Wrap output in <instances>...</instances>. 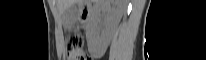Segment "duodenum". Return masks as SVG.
<instances>
[{
	"instance_id": "obj_1",
	"label": "duodenum",
	"mask_w": 206,
	"mask_h": 60,
	"mask_svg": "<svg viewBox=\"0 0 206 60\" xmlns=\"http://www.w3.org/2000/svg\"><path fill=\"white\" fill-rule=\"evenodd\" d=\"M90 11H91V7L88 4H84L81 7V19H82L83 22H85L87 20Z\"/></svg>"
}]
</instances>
